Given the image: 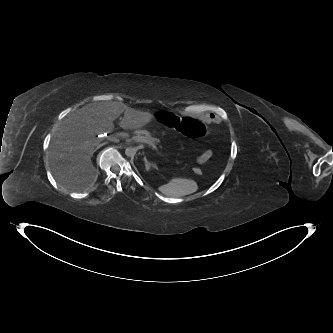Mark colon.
<instances>
[{
    "mask_svg": "<svg viewBox=\"0 0 333 333\" xmlns=\"http://www.w3.org/2000/svg\"><path fill=\"white\" fill-rule=\"evenodd\" d=\"M153 119L157 125L168 128L171 131H179L190 138L204 139L211 134V129L206 124L193 118H181V116L173 111L157 110L154 113ZM195 173L201 174L202 172L200 169H196Z\"/></svg>",
    "mask_w": 333,
    "mask_h": 333,
    "instance_id": "1",
    "label": "colon"
}]
</instances>
